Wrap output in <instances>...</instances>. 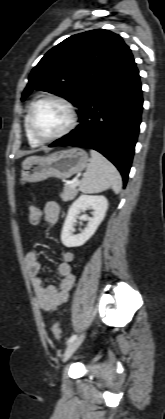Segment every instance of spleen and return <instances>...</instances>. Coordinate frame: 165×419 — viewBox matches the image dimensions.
<instances>
[{"instance_id": "spleen-1", "label": "spleen", "mask_w": 165, "mask_h": 419, "mask_svg": "<svg viewBox=\"0 0 165 419\" xmlns=\"http://www.w3.org/2000/svg\"><path fill=\"white\" fill-rule=\"evenodd\" d=\"M91 161L87 171L80 181V190L83 193H100L112 188L115 194L122 189V179L115 168L104 156L91 150Z\"/></svg>"}]
</instances>
